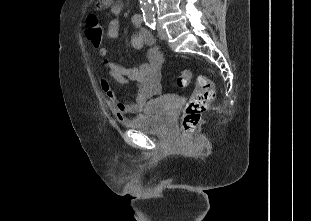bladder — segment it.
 Listing matches in <instances>:
<instances>
[{
  "label": "bladder",
  "mask_w": 311,
  "mask_h": 221,
  "mask_svg": "<svg viewBox=\"0 0 311 221\" xmlns=\"http://www.w3.org/2000/svg\"><path fill=\"white\" fill-rule=\"evenodd\" d=\"M169 99L156 97L151 102V108H145L144 112L138 113L127 119L124 125L128 128L139 130L143 134L157 135L167 132L173 120L170 115L171 106Z\"/></svg>",
  "instance_id": "bladder-1"
}]
</instances>
